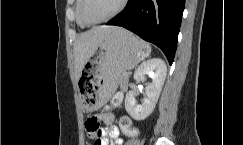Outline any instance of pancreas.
<instances>
[{
	"label": "pancreas",
	"mask_w": 243,
	"mask_h": 145,
	"mask_svg": "<svg viewBox=\"0 0 243 145\" xmlns=\"http://www.w3.org/2000/svg\"><path fill=\"white\" fill-rule=\"evenodd\" d=\"M128 83V76L122 73L119 77V84L121 88H124Z\"/></svg>",
	"instance_id": "obj_1"
}]
</instances>
